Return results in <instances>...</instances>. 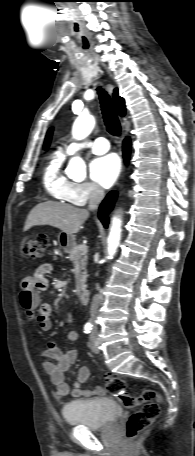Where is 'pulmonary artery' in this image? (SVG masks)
<instances>
[{"label":"pulmonary artery","instance_id":"1","mask_svg":"<svg viewBox=\"0 0 195 456\" xmlns=\"http://www.w3.org/2000/svg\"><path fill=\"white\" fill-rule=\"evenodd\" d=\"M110 148L109 142L103 138H97L93 141L73 142L66 146L65 151L67 154L72 155L82 149H90L95 154L106 153Z\"/></svg>","mask_w":195,"mask_h":456}]
</instances>
